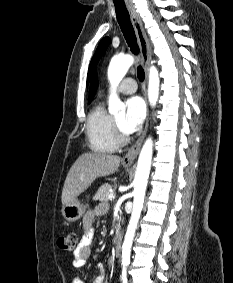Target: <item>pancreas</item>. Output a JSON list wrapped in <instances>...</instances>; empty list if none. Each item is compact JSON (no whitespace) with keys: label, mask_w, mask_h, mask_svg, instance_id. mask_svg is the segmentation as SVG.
<instances>
[{"label":"pancreas","mask_w":233,"mask_h":283,"mask_svg":"<svg viewBox=\"0 0 233 283\" xmlns=\"http://www.w3.org/2000/svg\"><path fill=\"white\" fill-rule=\"evenodd\" d=\"M113 187V185L110 184H103L98 189L97 193L95 194V198L98 199L101 202H107L109 200L110 195V189Z\"/></svg>","instance_id":"cf45deb5"}]
</instances>
